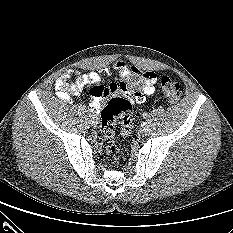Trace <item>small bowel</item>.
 Masks as SVG:
<instances>
[{
  "label": "small bowel",
  "instance_id": "obj_1",
  "mask_svg": "<svg viewBox=\"0 0 233 233\" xmlns=\"http://www.w3.org/2000/svg\"><path fill=\"white\" fill-rule=\"evenodd\" d=\"M123 61L115 62L112 67L103 68L101 73L107 76L112 74V71L118 72L121 80L113 82L108 86L98 85L101 81V74L96 71H91L87 74L79 72L67 71L59 76L55 82V90L58 97L65 103H71L75 96L88 85H94L91 89L92 106L95 109H100L104 99L116 94L127 95L132 103H140L145 96H150L154 93V83L156 74L152 71L144 72L146 78L141 86L140 95L135 97L129 92L130 73L131 69ZM73 78V81L71 79Z\"/></svg>",
  "mask_w": 233,
  "mask_h": 233
}]
</instances>
